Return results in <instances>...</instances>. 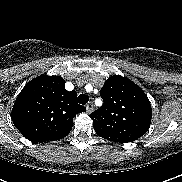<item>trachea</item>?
I'll list each match as a JSON object with an SVG mask.
<instances>
[{
  "label": "trachea",
  "instance_id": "1",
  "mask_svg": "<svg viewBox=\"0 0 182 182\" xmlns=\"http://www.w3.org/2000/svg\"><path fill=\"white\" fill-rule=\"evenodd\" d=\"M89 101V97L85 94H80L78 96V102L82 105H85Z\"/></svg>",
  "mask_w": 182,
  "mask_h": 182
}]
</instances>
